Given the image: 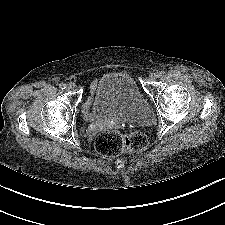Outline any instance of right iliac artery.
I'll list each match as a JSON object with an SVG mask.
<instances>
[{"label":"right iliac artery","instance_id":"82829eb1","mask_svg":"<svg viewBox=\"0 0 225 225\" xmlns=\"http://www.w3.org/2000/svg\"><path fill=\"white\" fill-rule=\"evenodd\" d=\"M59 87L63 90V89L66 88V84H65V83H61V84L59 85Z\"/></svg>","mask_w":225,"mask_h":225}]
</instances>
